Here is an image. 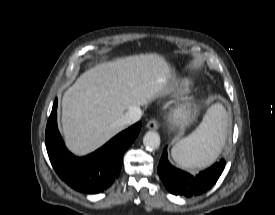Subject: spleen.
<instances>
[{
	"label": "spleen",
	"instance_id": "spleen-1",
	"mask_svg": "<svg viewBox=\"0 0 275 215\" xmlns=\"http://www.w3.org/2000/svg\"><path fill=\"white\" fill-rule=\"evenodd\" d=\"M228 114L221 104L212 105L201 124L172 148V157L184 168H201L213 163L225 143Z\"/></svg>",
	"mask_w": 275,
	"mask_h": 215
}]
</instances>
